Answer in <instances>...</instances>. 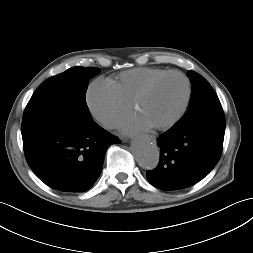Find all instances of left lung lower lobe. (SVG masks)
<instances>
[{"label": "left lung lower lobe", "mask_w": 253, "mask_h": 253, "mask_svg": "<svg viewBox=\"0 0 253 253\" xmlns=\"http://www.w3.org/2000/svg\"><path fill=\"white\" fill-rule=\"evenodd\" d=\"M225 133V118L178 121L159 136V166L146 173L161 190L187 188L203 179L220 159Z\"/></svg>", "instance_id": "left-lung-lower-lobe-1"}]
</instances>
